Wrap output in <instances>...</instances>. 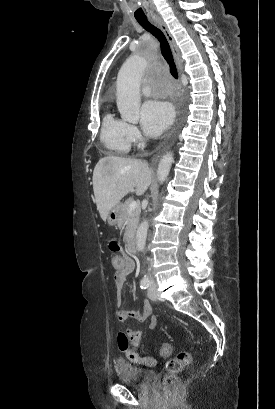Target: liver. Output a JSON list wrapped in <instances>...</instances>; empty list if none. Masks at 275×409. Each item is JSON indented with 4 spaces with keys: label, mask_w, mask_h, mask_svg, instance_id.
<instances>
[{
    "label": "liver",
    "mask_w": 275,
    "mask_h": 409,
    "mask_svg": "<svg viewBox=\"0 0 275 409\" xmlns=\"http://www.w3.org/2000/svg\"><path fill=\"white\" fill-rule=\"evenodd\" d=\"M151 182V170L147 162L138 158L103 156L93 170V190L97 211L106 221L112 207L136 186V194H144Z\"/></svg>",
    "instance_id": "6515ba94"
}]
</instances>
